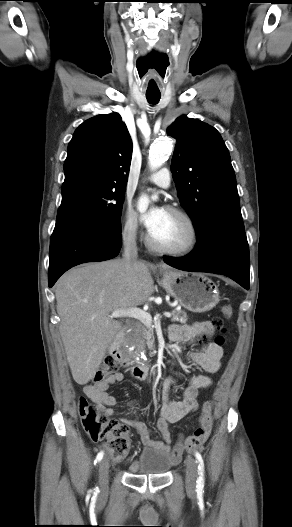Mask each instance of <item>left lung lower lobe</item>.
Masks as SVG:
<instances>
[{
  "instance_id": "left-lung-lower-lobe-1",
  "label": "left lung lower lobe",
  "mask_w": 292,
  "mask_h": 527,
  "mask_svg": "<svg viewBox=\"0 0 292 527\" xmlns=\"http://www.w3.org/2000/svg\"><path fill=\"white\" fill-rule=\"evenodd\" d=\"M164 262L185 271L222 274L249 289V247L245 232H225L198 241L185 257H164Z\"/></svg>"
}]
</instances>
